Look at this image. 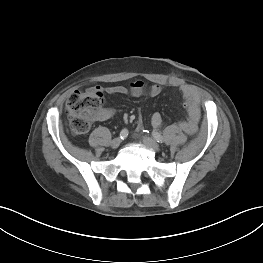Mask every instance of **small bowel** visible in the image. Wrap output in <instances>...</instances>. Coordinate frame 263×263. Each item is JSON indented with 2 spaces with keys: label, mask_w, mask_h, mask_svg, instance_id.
Listing matches in <instances>:
<instances>
[{
  "label": "small bowel",
  "mask_w": 263,
  "mask_h": 263,
  "mask_svg": "<svg viewBox=\"0 0 263 263\" xmlns=\"http://www.w3.org/2000/svg\"><path fill=\"white\" fill-rule=\"evenodd\" d=\"M96 91H105L108 94H119V95H131L134 97H139L143 95H147L150 97H155L159 95L162 91V87L158 84L154 85H147L144 82L137 80L132 82L129 87L116 85V86H110L105 89L97 86L94 88H91ZM181 92L185 98V101L188 103V120L182 122V129L184 130V133L187 136H197L202 135L203 130L205 128V121L204 116L200 115V108H199V95L191 86L189 85H182L181 86ZM112 110L105 109L102 111L100 116L98 117L101 120L107 119L112 115ZM200 121V128L201 129H195L196 124ZM151 124L155 128H159L162 124V117L160 113H153L151 116ZM142 129V124L140 123L138 126V130L140 131ZM195 129V130H194ZM194 130V131H193ZM193 131V132H192Z\"/></svg>",
  "instance_id": "obj_1"
}]
</instances>
